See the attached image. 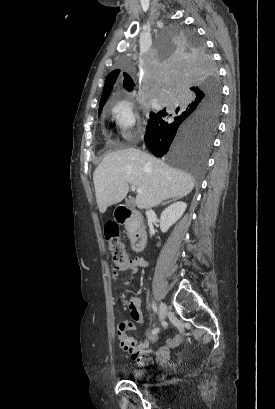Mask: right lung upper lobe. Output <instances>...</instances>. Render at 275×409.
Instances as JSON below:
<instances>
[{"label": "right lung upper lobe", "instance_id": "cb5924a9", "mask_svg": "<svg viewBox=\"0 0 275 409\" xmlns=\"http://www.w3.org/2000/svg\"><path fill=\"white\" fill-rule=\"evenodd\" d=\"M119 73H116V71H112L106 78L105 81V85L103 88V93H102V97L100 100V105H99V110L103 109V106L105 105L112 89H113V85L118 77ZM123 77H124V85L125 88H129L131 89L134 86L133 80L131 79V77L127 74V73H123ZM195 91V90H193Z\"/></svg>", "mask_w": 275, "mask_h": 409}]
</instances>
